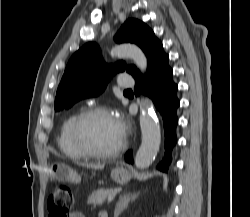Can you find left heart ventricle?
Listing matches in <instances>:
<instances>
[{
  "mask_svg": "<svg viewBox=\"0 0 250 217\" xmlns=\"http://www.w3.org/2000/svg\"><path fill=\"white\" fill-rule=\"evenodd\" d=\"M83 132L87 142L100 151L116 148L123 138L116 118L109 114H97L88 118Z\"/></svg>",
  "mask_w": 250,
  "mask_h": 217,
  "instance_id": "left-heart-ventricle-1",
  "label": "left heart ventricle"
}]
</instances>
